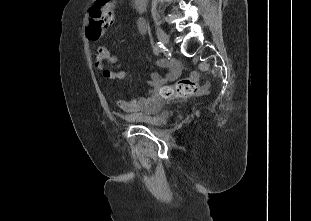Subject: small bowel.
I'll use <instances>...</instances> for the list:
<instances>
[{
	"label": "small bowel",
	"mask_w": 311,
	"mask_h": 221,
	"mask_svg": "<svg viewBox=\"0 0 311 221\" xmlns=\"http://www.w3.org/2000/svg\"><path fill=\"white\" fill-rule=\"evenodd\" d=\"M139 31L141 33L145 31L144 24H139ZM117 62L118 57L114 54H111L108 46L101 45L97 48L95 55V67L102 71V76L105 80L109 82H116L120 79H123L127 75L128 69L126 68L114 70L105 67L106 64L114 65L117 64ZM163 81L164 80L160 75H152L147 82V85L151 88L147 95H142L135 98L119 97L117 99V106L122 111L128 113L144 110L148 106L149 102L154 98L156 92L162 86Z\"/></svg>",
	"instance_id": "obj_1"
}]
</instances>
